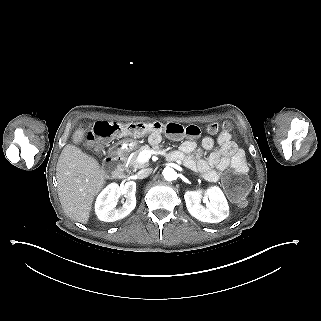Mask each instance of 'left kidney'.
Wrapping results in <instances>:
<instances>
[{
	"mask_svg": "<svg viewBox=\"0 0 321 321\" xmlns=\"http://www.w3.org/2000/svg\"><path fill=\"white\" fill-rule=\"evenodd\" d=\"M203 193L209 199L206 208L201 205ZM184 200L190 215L202 222L218 223L229 215L227 200L218 187L186 191Z\"/></svg>",
	"mask_w": 321,
	"mask_h": 321,
	"instance_id": "left-kidney-1",
	"label": "left kidney"
}]
</instances>
